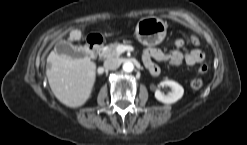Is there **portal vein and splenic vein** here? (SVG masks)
<instances>
[{
	"label": "portal vein and splenic vein",
	"instance_id": "portal-vein-and-splenic-vein-1",
	"mask_svg": "<svg viewBox=\"0 0 247 145\" xmlns=\"http://www.w3.org/2000/svg\"><path fill=\"white\" fill-rule=\"evenodd\" d=\"M129 48H130L129 46L119 45V46L117 47V52L123 53V52H125L126 50H128Z\"/></svg>",
	"mask_w": 247,
	"mask_h": 145
}]
</instances>
